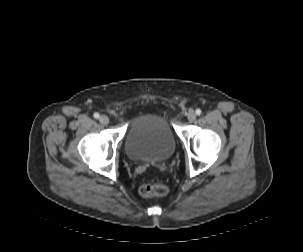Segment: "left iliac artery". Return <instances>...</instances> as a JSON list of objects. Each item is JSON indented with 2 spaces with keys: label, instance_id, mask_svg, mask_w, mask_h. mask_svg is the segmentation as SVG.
<instances>
[{
  "label": "left iliac artery",
  "instance_id": "44dca946",
  "mask_svg": "<svg viewBox=\"0 0 303 252\" xmlns=\"http://www.w3.org/2000/svg\"><path fill=\"white\" fill-rule=\"evenodd\" d=\"M202 113L201 109H196V114L200 115Z\"/></svg>",
  "mask_w": 303,
  "mask_h": 252
}]
</instances>
